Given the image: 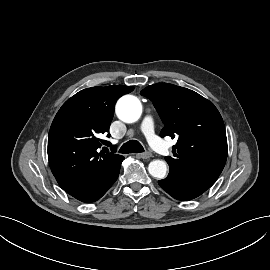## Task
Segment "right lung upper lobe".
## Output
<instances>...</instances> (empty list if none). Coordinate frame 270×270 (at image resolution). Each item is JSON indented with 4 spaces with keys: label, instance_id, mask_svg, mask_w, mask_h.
<instances>
[{
    "label": "right lung upper lobe",
    "instance_id": "obj_1",
    "mask_svg": "<svg viewBox=\"0 0 270 270\" xmlns=\"http://www.w3.org/2000/svg\"><path fill=\"white\" fill-rule=\"evenodd\" d=\"M133 89L132 86L83 89L57 112L48 135V160L62 189L104 175L124 158L114 154L113 146L110 153L99 152L101 145H111L99 137L109 130L117 99Z\"/></svg>",
    "mask_w": 270,
    "mask_h": 270
}]
</instances>
